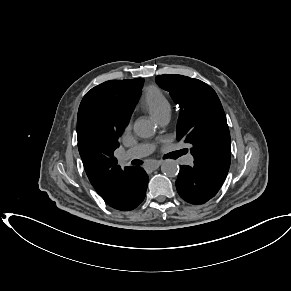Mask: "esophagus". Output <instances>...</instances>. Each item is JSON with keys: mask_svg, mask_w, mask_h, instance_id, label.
<instances>
[{"mask_svg": "<svg viewBox=\"0 0 291 291\" xmlns=\"http://www.w3.org/2000/svg\"><path fill=\"white\" fill-rule=\"evenodd\" d=\"M162 164V161H155L148 165V168L154 170Z\"/></svg>", "mask_w": 291, "mask_h": 291, "instance_id": "1", "label": "esophagus"}]
</instances>
